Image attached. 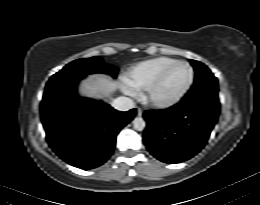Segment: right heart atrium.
I'll return each mask as SVG.
<instances>
[{
	"label": "right heart atrium",
	"instance_id": "d8ad5b80",
	"mask_svg": "<svg viewBox=\"0 0 260 205\" xmlns=\"http://www.w3.org/2000/svg\"><path fill=\"white\" fill-rule=\"evenodd\" d=\"M123 91L127 95H131V96L135 95L134 90L127 85L123 86Z\"/></svg>",
	"mask_w": 260,
	"mask_h": 205
}]
</instances>
